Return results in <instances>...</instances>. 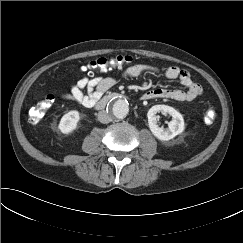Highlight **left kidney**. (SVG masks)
<instances>
[{
	"label": "left kidney",
	"mask_w": 243,
	"mask_h": 243,
	"mask_svg": "<svg viewBox=\"0 0 243 243\" xmlns=\"http://www.w3.org/2000/svg\"><path fill=\"white\" fill-rule=\"evenodd\" d=\"M159 112L168 113L172 116V121L169 122L167 129L159 127L157 124L156 114ZM147 117L152 134L161 141L171 140L175 136L181 134L185 129L184 119L181 113L167 105L152 106L147 113Z\"/></svg>",
	"instance_id": "5707ae66"
}]
</instances>
